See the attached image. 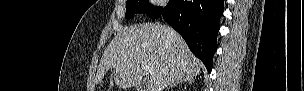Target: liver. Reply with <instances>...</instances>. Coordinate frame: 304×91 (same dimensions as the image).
I'll return each instance as SVG.
<instances>
[{"label": "liver", "instance_id": "liver-1", "mask_svg": "<svg viewBox=\"0 0 304 91\" xmlns=\"http://www.w3.org/2000/svg\"><path fill=\"white\" fill-rule=\"evenodd\" d=\"M142 63L152 71L148 91H163L173 82L193 79L203 67L176 31L163 24L145 23L117 33L101 57L96 82L101 84L113 69L119 88L136 87L144 75Z\"/></svg>", "mask_w": 304, "mask_h": 91}]
</instances>
